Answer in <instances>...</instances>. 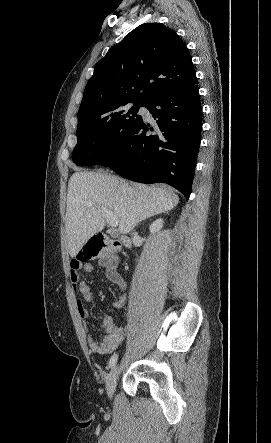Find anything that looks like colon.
Here are the masks:
<instances>
[{"label":"colon","mask_w":271,"mask_h":443,"mask_svg":"<svg viewBox=\"0 0 271 443\" xmlns=\"http://www.w3.org/2000/svg\"><path fill=\"white\" fill-rule=\"evenodd\" d=\"M119 250V243L106 241L101 237H93L82 247L76 260L82 263L99 258L103 263H112Z\"/></svg>","instance_id":"5ec220e1"}]
</instances>
